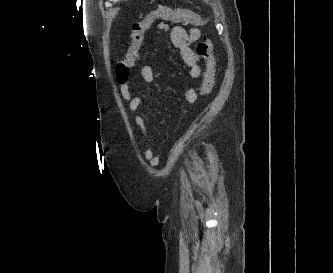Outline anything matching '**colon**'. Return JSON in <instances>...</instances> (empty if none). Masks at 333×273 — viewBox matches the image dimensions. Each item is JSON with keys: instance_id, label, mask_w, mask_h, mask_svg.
<instances>
[{"instance_id": "obj_1", "label": "colon", "mask_w": 333, "mask_h": 273, "mask_svg": "<svg viewBox=\"0 0 333 273\" xmlns=\"http://www.w3.org/2000/svg\"><path fill=\"white\" fill-rule=\"evenodd\" d=\"M156 20L164 21H184L200 26L207 23V19L188 9H172L161 6L146 13L140 20L134 22L131 27V42L125 56L116 62V77L120 84L126 83L129 79L130 71L134 67L144 37L152 23ZM197 55L205 61V70L202 76L199 95L205 97L209 95L216 82L217 62L214 56V46L212 40L205 35L197 46Z\"/></svg>"}]
</instances>
